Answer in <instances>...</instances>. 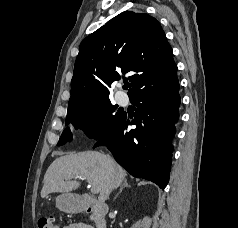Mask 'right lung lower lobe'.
<instances>
[{
  "instance_id": "right-lung-lower-lobe-1",
  "label": "right lung lower lobe",
  "mask_w": 238,
  "mask_h": 228,
  "mask_svg": "<svg viewBox=\"0 0 238 228\" xmlns=\"http://www.w3.org/2000/svg\"><path fill=\"white\" fill-rule=\"evenodd\" d=\"M137 107L131 122L125 114L95 146H108L115 160L132 176L164 189L169 181L175 126L179 118L177 76L137 91L130 97ZM129 124L137 125L128 130Z\"/></svg>"
}]
</instances>
